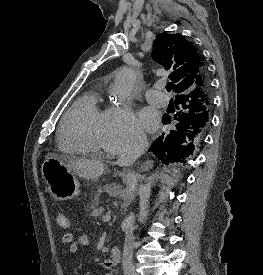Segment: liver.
Wrapping results in <instances>:
<instances>
[{"instance_id":"obj_1","label":"liver","mask_w":263,"mask_h":275,"mask_svg":"<svg viewBox=\"0 0 263 275\" xmlns=\"http://www.w3.org/2000/svg\"><path fill=\"white\" fill-rule=\"evenodd\" d=\"M50 156L61 160L70 171L87 180H97L105 171L104 164L100 160H67L66 157L57 154H49L47 157ZM119 194H124L120 188H114L110 191L111 196H118Z\"/></svg>"}]
</instances>
